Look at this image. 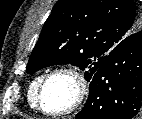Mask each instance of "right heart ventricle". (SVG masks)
I'll list each match as a JSON object with an SVG mask.
<instances>
[{
	"label": "right heart ventricle",
	"instance_id": "right-heart-ventricle-1",
	"mask_svg": "<svg viewBox=\"0 0 142 119\" xmlns=\"http://www.w3.org/2000/svg\"><path fill=\"white\" fill-rule=\"evenodd\" d=\"M42 78H43V76L35 77L31 81V83L29 84V87H28V90H27L28 103H29L30 107L34 110L36 109L35 96H36V92H37V89L39 87V84H40Z\"/></svg>",
	"mask_w": 142,
	"mask_h": 119
}]
</instances>
